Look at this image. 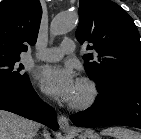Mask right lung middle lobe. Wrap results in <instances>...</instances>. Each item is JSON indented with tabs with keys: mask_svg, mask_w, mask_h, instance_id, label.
<instances>
[{
	"mask_svg": "<svg viewBox=\"0 0 141 139\" xmlns=\"http://www.w3.org/2000/svg\"><path fill=\"white\" fill-rule=\"evenodd\" d=\"M20 57H0V87H15L30 82L23 72V65L19 64Z\"/></svg>",
	"mask_w": 141,
	"mask_h": 139,
	"instance_id": "obj_1",
	"label": "right lung middle lobe"
}]
</instances>
